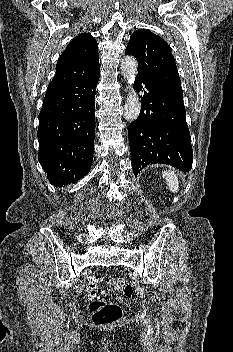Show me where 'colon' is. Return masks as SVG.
I'll return each instance as SVG.
<instances>
[{"mask_svg":"<svg viewBox=\"0 0 233 352\" xmlns=\"http://www.w3.org/2000/svg\"><path fill=\"white\" fill-rule=\"evenodd\" d=\"M100 280V277H91L86 282L85 289L90 300V315L97 325H112L122 317V309L119 305L105 300L107 292L99 285ZM113 290L124 296H130L133 288L125 278H116L113 281Z\"/></svg>","mask_w":233,"mask_h":352,"instance_id":"1","label":"colon"}]
</instances>
